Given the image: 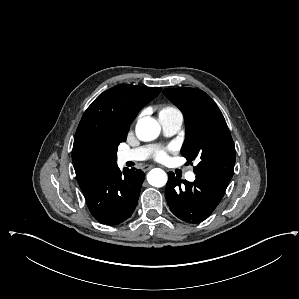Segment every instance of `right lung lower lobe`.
Instances as JSON below:
<instances>
[{
	"label": "right lung lower lobe",
	"mask_w": 299,
	"mask_h": 299,
	"mask_svg": "<svg viewBox=\"0 0 299 299\" xmlns=\"http://www.w3.org/2000/svg\"><path fill=\"white\" fill-rule=\"evenodd\" d=\"M144 177L140 169L121 172L117 164L102 170L81 189L92 216L108 225L125 221L136 207Z\"/></svg>",
	"instance_id": "right-lung-lower-lobe-1"
}]
</instances>
